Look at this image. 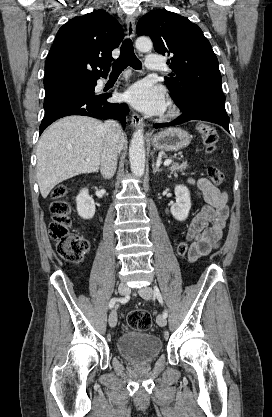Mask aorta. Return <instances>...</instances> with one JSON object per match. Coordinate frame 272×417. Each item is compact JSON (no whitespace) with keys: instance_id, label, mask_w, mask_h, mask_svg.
<instances>
[{"instance_id":"obj_1","label":"aorta","mask_w":272,"mask_h":417,"mask_svg":"<svg viewBox=\"0 0 272 417\" xmlns=\"http://www.w3.org/2000/svg\"><path fill=\"white\" fill-rule=\"evenodd\" d=\"M152 41L147 37H139L136 40V48L146 52L152 49ZM129 161L132 173L141 177L145 170V145L143 129H137L132 136L129 147Z\"/></svg>"}]
</instances>
